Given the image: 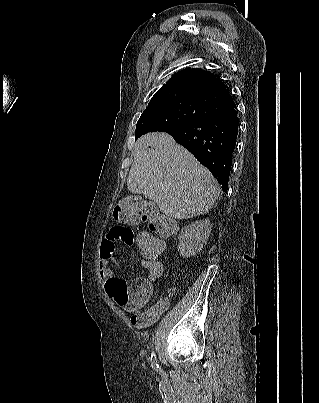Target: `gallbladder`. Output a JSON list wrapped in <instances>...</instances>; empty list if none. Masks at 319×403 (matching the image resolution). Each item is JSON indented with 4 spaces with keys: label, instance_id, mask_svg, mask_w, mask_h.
<instances>
[{
    "label": "gallbladder",
    "instance_id": "gallbladder-1",
    "mask_svg": "<svg viewBox=\"0 0 319 403\" xmlns=\"http://www.w3.org/2000/svg\"><path fill=\"white\" fill-rule=\"evenodd\" d=\"M144 207L150 208L152 210H157V207L154 204H152L151 202H147Z\"/></svg>",
    "mask_w": 319,
    "mask_h": 403
}]
</instances>
